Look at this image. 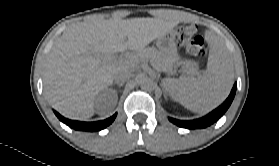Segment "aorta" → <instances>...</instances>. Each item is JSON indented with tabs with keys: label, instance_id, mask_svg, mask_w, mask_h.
<instances>
[{
	"label": "aorta",
	"instance_id": "1",
	"mask_svg": "<svg viewBox=\"0 0 279 166\" xmlns=\"http://www.w3.org/2000/svg\"><path fill=\"white\" fill-rule=\"evenodd\" d=\"M154 87V82L153 80L149 79V78H144L142 81H141V88L143 90H152Z\"/></svg>",
	"mask_w": 279,
	"mask_h": 166
}]
</instances>
